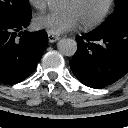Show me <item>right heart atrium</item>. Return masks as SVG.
Instances as JSON below:
<instances>
[{"mask_svg":"<svg viewBox=\"0 0 128 128\" xmlns=\"http://www.w3.org/2000/svg\"><path fill=\"white\" fill-rule=\"evenodd\" d=\"M29 4L35 9L41 10L46 6V0H28Z\"/></svg>","mask_w":128,"mask_h":128,"instance_id":"right-heart-atrium-1","label":"right heart atrium"}]
</instances>
